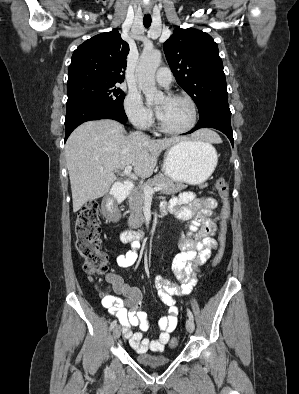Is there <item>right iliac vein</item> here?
Returning a JSON list of instances; mask_svg holds the SVG:
<instances>
[{
    "label": "right iliac vein",
    "instance_id": "1",
    "mask_svg": "<svg viewBox=\"0 0 299 394\" xmlns=\"http://www.w3.org/2000/svg\"><path fill=\"white\" fill-rule=\"evenodd\" d=\"M121 335V326L116 325L113 329V337L115 340H117Z\"/></svg>",
    "mask_w": 299,
    "mask_h": 394
}]
</instances>
